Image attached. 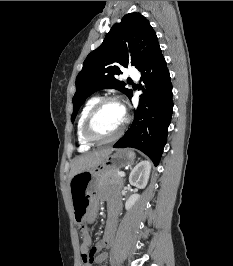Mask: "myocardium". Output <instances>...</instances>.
<instances>
[{
	"instance_id": "f54148a6",
	"label": "myocardium",
	"mask_w": 233,
	"mask_h": 266,
	"mask_svg": "<svg viewBox=\"0 0 233 266\" xmlns=\"http://www.w3.org/2000/svg\"><path fill=\"white\" fill-rule=\"evenodd\" d=\"M109 102H113V103H117L122 107V104L120 102V100L117 97L114 96H106L103 98H100L90 109V111L88 112L84 124H83V128H82V134L84 139L90 143V144H106V143H111L115 140H117L124 132L125 126H126V122L127 119L126 117L124 118V121L122 123V125L120 126V128L116 131L115 134H113L110 137L107 138H99L97 137L93 131H92V124L94 121L95 116L97 115L98 111L101 109V107L103 105H105L106 103Z\"/></svg>"
}]
</instances>
